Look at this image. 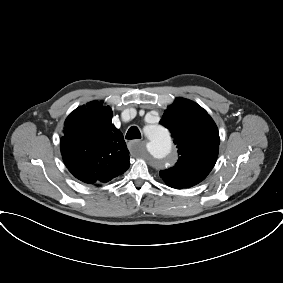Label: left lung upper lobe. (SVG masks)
I'll list each match as a JSON object with an SVG mask.
<instances>
[{"label":"left lung upper lobe","mask_w":283,"mask_h":283,"mask_svg":"<svg viewBox=\"0 0 283 283\" xmlns=\"http://www.w3.org/2000/svg\"><path fill=\"white\" fill-rule=\"evenodd\" d=\"M160 123L171 131L179 154L176 165L160 171V177L176 189L201 182L218 155L220 139L212 118L198 104L179 98L169 106Z\"/></svg>","instance_id":"1"}]
</instances>
